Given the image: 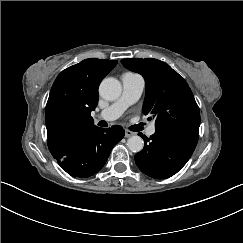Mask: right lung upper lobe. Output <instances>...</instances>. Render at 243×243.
I'll use <instances>...</instances> for the list:
<instances>
[{"label": "right lung upper lobe", "mask_w": 243, "mask_h": 243, "mask_svg": "<svg viewBox=\"0 0 243 243\" xmlns=\"http://www.w3.org/2000/svg\"><path fill=\"white\" fill-rule=\"evenodd\" d=\"M116 64V60L85 59L57 76L45 113L48 148L53 156L75 136L95 127L90 114L98 104V87Z\"/></svg>", "instance_id": "right-lung-upper-lobe-1"}]
</instances>
